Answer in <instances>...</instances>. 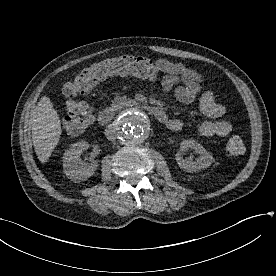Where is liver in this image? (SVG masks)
<instances>
[{
    "mask_svg": "<svg viewBox=\"0 0 276 276\" xmlns=\"http://www.w3.org/2000/svg\"><path fill=\"white\" fill-rule=\"evenodd\" d=\"M32 141L41 163L49 160L62 134L61 121L50 98L43 96L31 110Z\"/></svg>",
    "mask_w": 276,
    "mask_h": 276,
    "instance_id": "1",
    "label": "liver"
}]
</instances>
